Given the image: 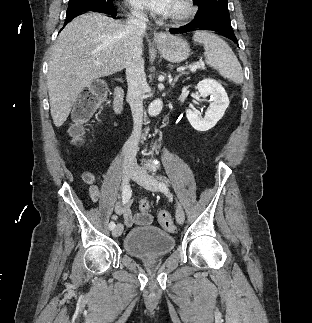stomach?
Returning <instances> with one entry per match:
<instances>
[{
  "label": "stomach",
  "mask_w": 312,
  "mask_h": 323,
  "mask_svg": "<svg viewBox=\"0 0 312 323\" xmlns=\"http://www.w3.org/2000/svg\"><path fill=\"white\" fill-rule=\"evenodd\" d=\"M159 50L164 60L174 62V64H180L190 56V46L181 36L166 34V36L160 38Z\"/></svg>",
  "instance_id": "0dacf381"
}]
</instances>
